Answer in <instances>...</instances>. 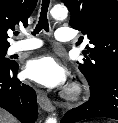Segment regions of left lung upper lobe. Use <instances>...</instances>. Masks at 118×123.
Returning a JSON list of instances; mask_svg holds the SVG:
<instances>
[{
	"label": "left lung upper lobe",
	"instance_id": "obj_1",
	"mask_svg": "<svg viewBox=\"0 0 118 123\" xmlns=\"http://www.w3.org/2000/svg\"><path fill=\"white\" fill-rule=\"evenodd\" d=\"M62 2L71 13V27L80 30L91 44L86 46L85 58L78 63L87 80L96 83L105 73L118 70V1Z\"/></svg>",
	"mask_w": 118,
	"mask_h": 123
}]
</instances>
